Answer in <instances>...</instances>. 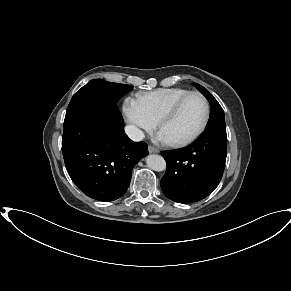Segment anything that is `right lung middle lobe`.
Instances as JSON below:
<instances>
[{
    "label": "right lung middle lobe",
    "mask_w": 291,
    "mask_h": 291,
    "mask_svg": "<svg viewBox=\"0 0 291 291\" xmlns=\"http://www.w3.org/2000/svg\"><path fill=\"white\" fill-rule=\"evenodd\" d=\"M132 89L130 85L102 79L92 80L74 94L66 110L65 120H85L108 106L116 105Z\"/></svg>",
    "instance_id": "1"
}]
</instances>
